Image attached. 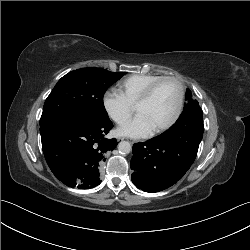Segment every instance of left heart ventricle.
Listing matches in <instances>:
<instances>
[{
  "mask_svg": "<svg viewBox=\"0 0 250 250\" xmlns=\"http://www.w3.org/2000/svg\"><path fill=\"white\" fill-rule=\"evenodd\" d=\"M178 94L177 84L166 81L156 89L149 101L135 109L136 113L145 117L153 131L171 119L177 106Z\"/></svg>",
  "mask_w": 250,
  "mask_h": 250,
  "instance_id": "b2bd125f",
  "label": "left heart ventricle"
}]
</instances>
